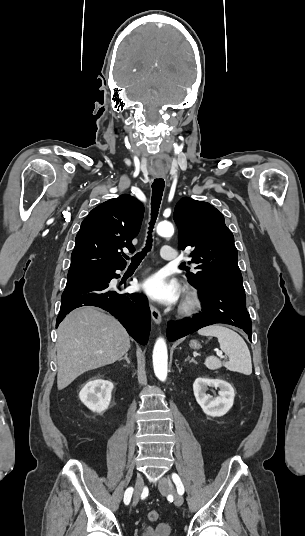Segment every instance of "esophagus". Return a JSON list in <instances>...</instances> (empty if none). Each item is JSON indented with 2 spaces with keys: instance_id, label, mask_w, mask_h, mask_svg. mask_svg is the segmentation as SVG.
Returning <instances> with one entry per match:
<instances>
[{
  "instance_id": "1",
  "label": "esophagus",
  "mask_w": 305,
  "mask_h": 536,
  "mask_svg": "<svg viewBox=\"0 0 305 536\" xmlns=\"http://www.w3.org/2000/svg\"><path fill=\"white\" fill-rule=\"evenodd\" d=\"M163 177H164V175L160 176L159 178H163ZM150 310H151V316H152L154 322L156 324H160L161 321H162V317H161V314H160L159 310L155 306H153L152 304L150 305Z\"/></svg>"
}]
</instances>
